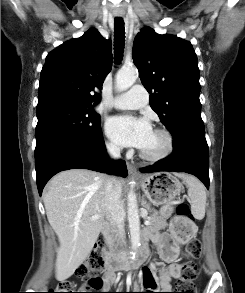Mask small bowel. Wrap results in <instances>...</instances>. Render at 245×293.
<instances>
[{"instance_id":"1","label":"small bowel","mask_w":245,"mask_h":293,"mask_svg":"<svg viewBox=\"0 0 245 293\" xmlns=\"http://www.w3.org/2000/svg\"><path fill=\"white\" fill-rule=\"evenodd\" d=\"M145 239H150L156 247L162 260L169 262L167 267L159 266V286L160 289L168 293L172 287V281L181 276L182 265L174 262L179 251L180 245L186 242V238H176L171 232L166 231L158 233L152 230L145 232ZM153 267H143L141 269L142 284L144 288H152V280L154 279ZM117 283V277L113 271H108L104 276V285L102 289H109L113 284ZM128 284H131L128 281ZM122 284L120 283V286ZM135 286H137L135 284Z\"/></svg>"}]
</instances>
